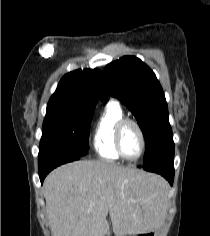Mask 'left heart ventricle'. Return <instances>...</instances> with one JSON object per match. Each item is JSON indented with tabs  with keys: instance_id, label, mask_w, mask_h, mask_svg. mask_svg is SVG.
<instances>
[{
	"instance_id": "b2bd125f",
	"label": "left heart ventricle",
	"mask_w": 210,
	"mask_h": 236,
	"mask_svg": "<svg viewBox=\"0 0 210 236\" xmlns=\"http://www.w3.org/2000/svg\"><path fill=\"white\" fill-rule=\"evenodd\" d=\"M121 145L126 157L134 158L139 154L141 140L137 129L133 125L125 126L122 132Z\"/></svg>"
}]
</instances>
